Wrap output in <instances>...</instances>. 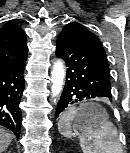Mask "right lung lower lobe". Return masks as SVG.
<instances>
[{
	"label": "right lung lower lobe",
	"mask_w": 130,
	"mask_h": 153,
	"mask_svg": "<svg viewBox=\"0 0 130 153\" xmlns=\"http://www.w3.org/2000/svg\"><path fill=\"white\" fill-rule=\"evenodd\" d=\"M26 60L22 63L0 67V125L20 137L22 114L19 108L25 86L23 77Z\"/></svg>",
	"instance_id": "right-lung-lower-lobe-1"
}]
</instances>
